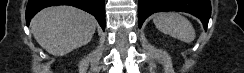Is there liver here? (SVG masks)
I'll return each instance as SVG.
<instances>
[{
    "mask_svg": "<svg viewBox=\"0 0 244 73\" xmlns=\"http://www.w3.org/2000/svg\"><path fill=\"white\" fill-rule=\"evenodd\" d=\"M36 41L48 53L64 56L91 41L96 20L89 13L69 5L48 7L31 22Z\"/></svg>",
    "mask_w": 244,
    "mask_h": 73,
    "instance_id": "liver-1",
    "label": "liver"
}]
</instances>
